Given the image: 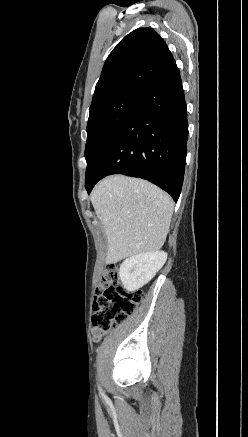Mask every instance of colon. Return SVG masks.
<instances>
[{"mask_svg":"<svg viewBox=\"0 0 248 437\" xmlns=\"http://www.w3.org/2000/svg\"><path fill=\"white\" fill-rule=\"evenodd\" d=\"M141 290L129 292L121 284L117 265L109 264L96 289L92 322L95 328H113L134 313L143 299Z\"/></svg>","mask_w":248,"mask_h":437,"instance_id":"obj_1","label":"colon"}]
</instances>
